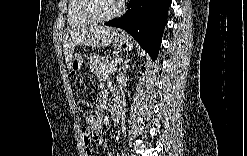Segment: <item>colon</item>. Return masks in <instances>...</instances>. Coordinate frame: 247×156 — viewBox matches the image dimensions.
Segmentation results:
<instances>
[{"instance_id":"5ec220e1","label":"colon","mask_w":247,"mask_h":156,"mask_svg":"<svg viewBox=\"0 0 247 156\" xmlns=\"http://www.w3.org/2000/svg\"><path fill=\"white\" fill-rule=\"evenodd\" d=\"M85 132V134L87 135V136H90L91 135V132L90 131H84Z\"/></svg>"}]
</instances>
